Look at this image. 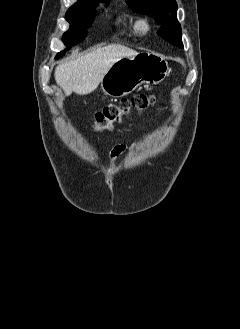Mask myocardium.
Returning a JSON list of instances; mask_svg holds the SVG:
<instances>
[{
  "label": "myocardium",
  "instance_id": "myocardium-1",
  "mask_svg": "<svg viewBox=\"0 0 240 329\" xmlns=\"http://www.w3.org/2000/svg\"><path fill=\"white\" fill-rule=\"evenodd\" d=\"M136 26L140 33L146 34L151 30L152 24L147 17H142L137 21Z\"/></svg>",
  "mask_w": 240,
  "mask_h": 329
}]
</instances>
